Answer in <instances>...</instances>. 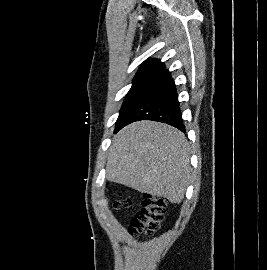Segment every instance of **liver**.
<instances>
[{
    "mask_svg": "<svg viewBox=\"0 0 267 270\" xmlns=\"http://www.w3.org/2000/svg\"><path fill=\"white\" fill-rule=\"evenodd\" d=\"M185 135L169 125L138 121L113 138L106 177L140 193L180 203L190 181Z\"/></svg>",
    "mask_w": 267,
    "mask_h": 270,
    "instance_id": "1",
    "label": "liver"
}]
</instances>
